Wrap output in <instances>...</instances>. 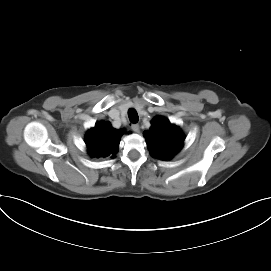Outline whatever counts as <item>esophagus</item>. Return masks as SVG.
<instances>
[{
  "mask_svg": "<svg viewBox=\"0 0 271 271\" xmlns=\"http://www.w3.org/2000/svg\"><path fill=\"white\" fill-rule=\"evenodd\" d=\"M131 128L134 132H139V125L138 124H132Z\"/></svg>",
  "mask_w": 271,
  "mask_h": 271,
  "instance_id": "obj_1",
  "label": "esophagus"
}]
</instances>
